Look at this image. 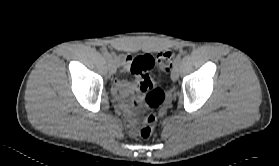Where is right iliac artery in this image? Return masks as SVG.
I'll use <instances>...</instances> for the list:
<instances>
[{
	"mask_svg": "<svg viewBox=\"0 0 279 166\" xmlns=\"http://www.w3.org/2000/svg\"><path fill=\"white\" fill-rule=\"evenodd\" d=\"M103 55L108 61H112V57L107 51L103 52Z\"/></svg>",
	"mask_w": 279,
	"mask_h": 166,
	"instance_id": "82829eb1",
	"label": "right iliac artery"
}]
</instances>
